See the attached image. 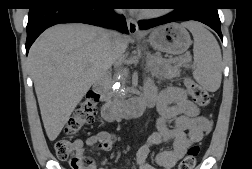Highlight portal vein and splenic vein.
Listing matches in <instances>:
<instances>
[{
	"instance_id": "1",
	"label": "portal vein and splenic vein",
	"mask_w": 252,
	"mask_h": 169,
	"mask_svg": "<svg viewBox=\"0 0 252 169\" xmlns=\"http://www.w3.org/2000/svg\"><path fill=\"white\" fill-rule=\"evenodd\" d=\"M184 62H191L192 57L190 55L186 56V58L183 60Z\"/></svg>"
}]
</instances>
